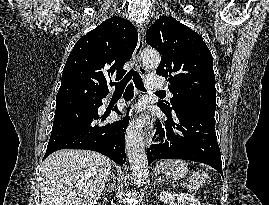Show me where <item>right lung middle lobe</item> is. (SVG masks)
Wrapping results in <instances>:
<instances>
[{"instance_id": "dd1d6c3e", "label": "right lung middle lobe", "mask_w": 269, "mask_h": 205, "mask_svg": "<svg viewBox=\"0 0 269 205\" xmlns=\"http://www.w3.org/2000/svg\"><path fill=\"white\" fill-rule=\"evenodd\" d=\"M93 104H95V103H93ZM93 104H87V105H93ZM80 106H86V105H80Z\"/></svg>"}]
</instances>
